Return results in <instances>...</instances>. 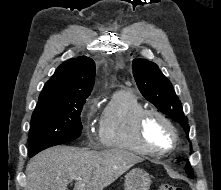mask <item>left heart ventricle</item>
Here are the masks:
<instances>
[{"instance_id": "b2bd125f", "label": "left heart ventricle", "mask_w": 221, "mask_h": 190, "mask_svg": "<svg viewBox=\"0 0 221 190\" xmlns=\"http://www.w3.org/2000/svg\"><path fill=\"white\" fill-rule=\"evenodd\" d=\"M147 141L155 148L163 149L172 144V134L165 123L156 116H150L144 129Z\"/></svg>"}]
</instances>
